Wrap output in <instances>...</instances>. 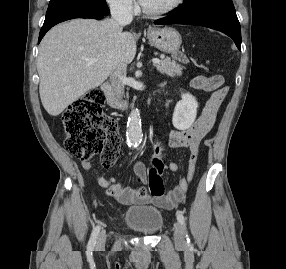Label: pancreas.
<instances>
[{
  "instance_id": "obj_1",
  "label": "pancreas",
  "mask_w": 286,
  "mask_h": 269,
  "mask_svg": "<svg viewBox=\"0 0 286 269\" xmlns=\"http://www.w3.org/2000/svg\"><path fill=\"white\" fill-rule=\"evenodd\" d=\"M158 71L163 74H167L170 77H176L182 75L183 67L172 61L170 58H165L160 61L159 64H155Z\"/></svg>"
}]
</instances>
